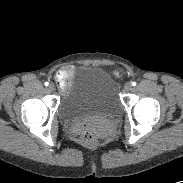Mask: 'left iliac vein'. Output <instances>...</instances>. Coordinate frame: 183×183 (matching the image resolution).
Wrapping results in <instances>:
<instances>
[{
  "mask_svg": "<svg viewBox=\"0 0 183 183\" xmlns=\"http://www.w3.org/2000/svg\"><path fill=\"white\" fill-rule=\"evenodd\" d=\"M124 89L125 91H130L132 89V84L127 82L125 85H124Z\"/></svg>",
  "mask_w": 183,
  "mask_h": 183,
  "instance_id": "1",
  "label": "left iliac vein"
}]
</instances>
